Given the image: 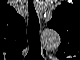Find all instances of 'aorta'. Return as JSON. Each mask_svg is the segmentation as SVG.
<instances>
[{"instance_id":"1","label":"aorta","mask_w":80,"mask_h":60,"mask_svg":"<svg viewBox=\"0 0 80 60\" xmlns=\"http://www.w3.org/2000/svg\"><path fill=\"white\" fill-rule=\"evenodd\" d=\"M45 37L47 38L46 44L50 47H58L61 42L59 35L55 32L47 33L45 34Z\"/></svg>"}]
</instances>
